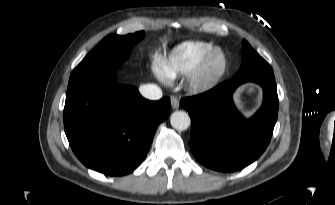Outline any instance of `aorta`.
I'll return each mask as SVG.
<instances>
[{
	"mask_svg": "<svg viewBox=\"0 0 335 205\" xmlns=\"http://www.w3.org/2000/svg\"><path fill=\"white\" fill-rule=\"evenodd\" d=\"M170 123L176 130H186L191 124L189 115L184 111H175L170 116Z\"/></svg>",
	"mask_w": 335,
	"mask_h": 205,
	"instance_id": "aorta-1",
	"label": "aorta"
}]
</instances>
